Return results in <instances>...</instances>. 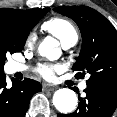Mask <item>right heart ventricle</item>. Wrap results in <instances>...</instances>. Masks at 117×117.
<instances>
[{
	"mask_svg": "<svg viewBox=\"0 0 117 117\" xmlns=\"http://www.w3.org/2000/svg\"><path fill=\"white\" fill-rule=\"evenodd\" d=\"M44 29L57 37L62 44L73 39H78V34L73 24L64 18H52L44 23Z\"/></svg>",
	"mask_w": 117,
	"mask_h": 117,
	"instance_id": "e07e8e85",
	"label": "right heart ventricle"
}]
</instances>
